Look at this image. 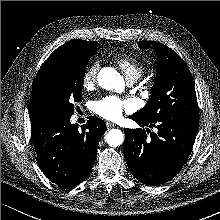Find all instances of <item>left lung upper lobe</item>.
Instances as JSON below:
<instances>
[{
  "instance_id": "obj_1",
  "label": "left lung upper lobe",
  "mask_w": 220,
  "mask_h": 220,
  "mask_svg": "<svg viewBox=\"0 0 220 220\" xmlns=\"http://www.w3.org/2000/svg\"><path fill=\"white\" fill-rule=\"evenodd\" d=\"M140 48L154 49L158 56L157 73L148 103L133 114L145 121H154L166 114L198 116L194 82L187 64L166 45L141 41Z\"/></svg>"
}]
</instances>
